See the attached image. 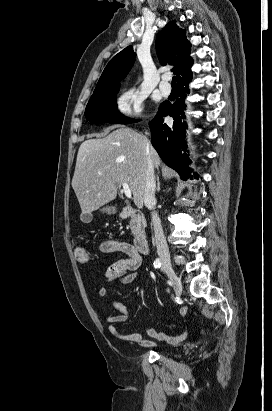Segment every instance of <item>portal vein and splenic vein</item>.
<instances>
[{
	"label": "portal vein and splenic vein",
	"instance_id": "portal-vein-and-splenic-vein-1",
	"mask_svg": "<svg viewBox=\"0 0 272 411\" xmlns=\"http://www.w3.org/2000/svg\"><path fill=\"white\" fill-rule=\"evenodd\" d=\"M122 187H123L122 191L124 192L125 196L127 198H131L132 195H131V190H130L129 185L126 182H123Z\"/></svg>",
	"mask_w": 272,
	"mask_h": 411
}]
</instances>
